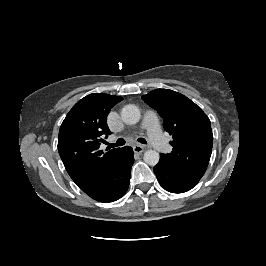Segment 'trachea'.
<instances>
[{"label": "trachea", "instance_id": "obj_1", "mask_svg": "<svg viewBox=\"0 0 266 266\" xmlns=\"http://www.w3.org/2000/svg\"><path fill=\"white\" fill-rule=\"evenodd\" d=\"M137 141L140 142V143H142V144H147V141L144 138H138ZM124 144H125V140L123 138H119L116 141V143H114V144L107 143L108 148L123 146Z\"/></svg>", "mask_w": 266, "mask_h": 266}]
</instances>
